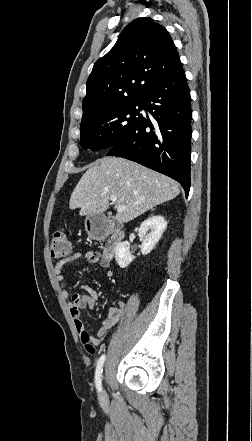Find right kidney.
Returning <instances> with one entry per match:
<instances>
[{
	"label": "right kidney",
	"instance_id": "1",
	"mask_svg": "<svg viewBox=\"0 0 252 441\" xmlns=\"http://www.w3.org/2000/svg\"><path fill=\"white\" fill-rule=\"evenodd\" d=\"M166 228L167 222L160 215L152 216L142 222L138 230V236L142 241L141 253L143 255L149 254L154 249ZM148 229H151V232L145 236ZM134 258L135 257L130 254L125 242L118 243L115 251V259L120 268L127 267Z\"/></svg>",
	"mask_w": 252,
	"mask_h": 441
}]
</instances>
